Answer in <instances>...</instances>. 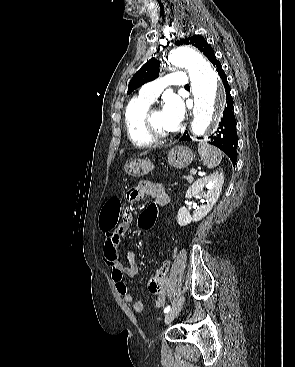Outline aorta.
Segmentation results:
<instances>
[{"label": "aorta", "instance_id": "obj_1", "mask_svg": "<svg viewBox=\"0 0 295 367\" xmlns=\"http://www.w3.org/2000/svg\"><path fill=\"white\" fill-rule=\"evenodd\" d=\"M169 63L189 71L194 94L193 135L202 136L213 124L223 105V90L219 76L210 63L198 52L187 47L171 51Z\"/></svg>", "mask_w": 295, "mask_h": 367}]
</instances>
